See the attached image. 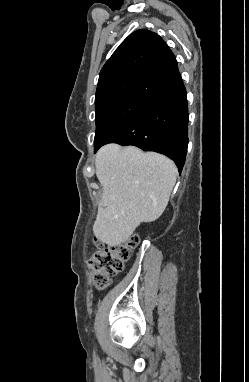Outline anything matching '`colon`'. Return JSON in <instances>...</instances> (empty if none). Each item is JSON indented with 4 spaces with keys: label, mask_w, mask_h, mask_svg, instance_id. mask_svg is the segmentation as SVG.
Wrapping results in <instances>:
<instances>
[{
    "label": "colon",
    "mask_w": 249,
    "mask_h": 382,
    "mask_svg": "<svg viewBox=\"0 0 249 382\" xmlns=\"http://www.w3.org/2000/svg\"><path fill=\"white\" fill-rule=\"evenodd\" d=\"M138 243L137 236H131L124 243L112 247L95 241L96 250L89 256L88 265L94 272L93 285L96 289H104L109 285L111 276L122 272Z\"/></svg>",
    "instance_id": "1"
}]
</instances>
